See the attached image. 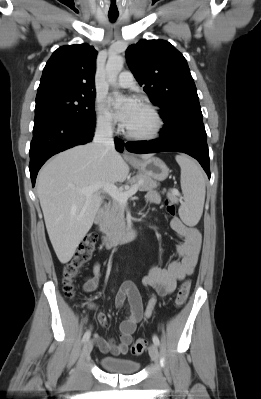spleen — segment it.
Masks as SVG:
<instances>
[{"instance_id":"spleen-1","label":"spleen","mask_w":261,"mask_h":399,"mask_svg":"<svg viewBox=\"0 0 261 399\" xmlns=\"http://www.w3.org/2000/svg\"><path fill=\"white\" fill-rule=\"evenodd\" d=\"M181 168V189L184 203L179 208V216L188 226H195L203 213L205 201V175L200 166L185 155L175 157Z\"/></svg>"}]
</instances>
